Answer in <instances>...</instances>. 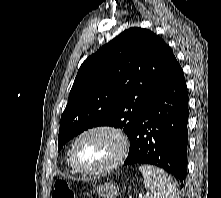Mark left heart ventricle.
Segmentation results:
<instances>
[{"mask_svg":"<svg viewBox=\"0 0 221 198\" xmlns=\"http://www.w3.org/2000/svg\"><path fill=\"white\" fill-rule=\"evenodd\" d=\"M117 139L106 132H96L83 137L76 145L77 163L87 169H97L108 164L117 154Z\"/></svg>","mask_w":221,"mask_h":198,"instance_id":"1","label":"left heart ventricle"}]
</instances>
